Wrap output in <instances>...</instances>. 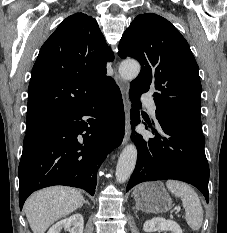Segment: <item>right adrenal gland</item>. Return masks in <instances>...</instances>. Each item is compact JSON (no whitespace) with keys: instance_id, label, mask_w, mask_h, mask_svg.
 I'll return each instance as SVG.
<instances>
[{"instance_id":"right-adrenal-gland-1","label":"right adrenal gland","mask_w":227,"mask_h":233,"mask_svg":"<svg viewBox=\"0 0 227 233\" xmlns=\"http://www.w3.org/2000/svg\"><path fill=\"white\" fill-rule=\"evenodd\" d=\"M84 203L90 206V203L87 200H84Z\"/></svg>"}]
</instances>
